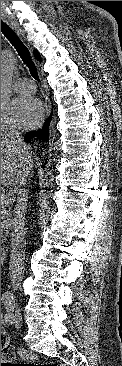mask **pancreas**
<instances>
[{
	"mask_svg": "<svg viewBox=\"0 0 122 366\" xmlns=\"http://www.w3.org/2000/svg\"><path fill=\"white\" fill-rule=\"evenodd\" d=\"M4 193H1V195ZM5 200L1 201V242H3L6 239V236L9 232V221H8V214H9V205H10V199L9 196L5 195Z\"/></svg>",
	"mask_w": 122,
	"mask_h": 366,
	"instance_id": "pancreas-1",
	"label": "pancreas"
}]
</instances>
